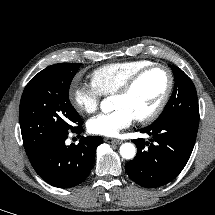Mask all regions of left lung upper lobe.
<instances>
[{"instance_id": "1", "label": "left lung upper lobe", "mask_w": 215, "mask_h": 215, "mask_svg": "<svg viewBox=\"0 0 215 215\" xmlns=\"http://www.w3.org/2000/svg\"><path fill=\"white\" fill-rule=\"evenodd\" d=\"M170 67L174 71V90L164 111L153 123L181 120L198 125L199 107L195 86L180 68L173 65Z\"/></svg>"}]
</instances>
